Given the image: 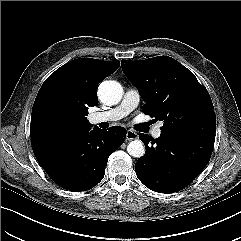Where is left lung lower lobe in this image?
Listing matches in <instances>:
<instances>
[{"mask_svg": "<svg viewBox=\"0 0 241 241\" xmlns=\"http://www.w3.org/2000/svg\"><path fill=\"white\" fill-rule=\"evenodd\" d=\"M146 152L135 164L138 179L159 193L177 192L189 185L209 162L214 141L161 131L157 139L141 133Z\"/></svg>", "mask_w": 241, "mask_h": 241, "instance_id": "left-lung-lower-lobe-1", "label": "left lung lower lobe"}]
</instances>
